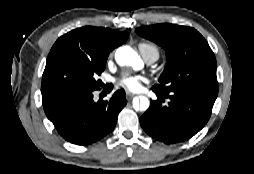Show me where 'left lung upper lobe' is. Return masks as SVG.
I'll return each mask as SVG.
<instances>
[{"label": "left lung upper lobe", "instance_id": "1", "mask_svg": "<svg viewBox=\"0 0 254 174\" xmlns=\"http://www.w3.org/2000/svg\"><path fill=\"white\" fill-rule=\"evenodd\" d=\"M135 31L166 52L167 64L153 89L165 94L180 89L218 93L214 53L194 28L163 23Z\"/></svg>", "mask_w": 254, "mask_h": 174}]
</instances>
